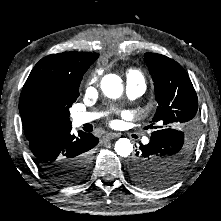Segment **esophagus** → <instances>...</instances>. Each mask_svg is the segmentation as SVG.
<instances>
[{
    "mask_svg": "<svg viewBox=\"0 0 221 221\" xmlns=\"http://www.w3.org/2000/svg\"><path fill=\"white\" fill-rule=\"evenodd\" d=\"M116 137H118V134H107L102 137L101 141H103V142L110 141Z\"/></svg>",
    "mask_w": 221,
    "mask_h": 221,
    "instance_id": "obj_1",
    "label": "esophagus"
}]
</instances>
